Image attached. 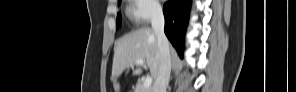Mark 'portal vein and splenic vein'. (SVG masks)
Returning <instances> with one entry per match:
<instances>
[{
    "instance_id": "obj_1",
    "label": "portal vein and splenic vein",
    "mask_w": 296,
    "mask_h": 92,
    "mask_svg": "<svg viewBox=\"0 0 296 92\" xmlns=\"http://www.w3.org/2000/svg\"><path fill=\"white\" fill-rule=\"evenodd\" d=\"M136 64L137 65H144V60L138 59V60H136ZM151 84H152V78L147 76L146 79L144 80L143 85H144V87L148 88L151 86Z\"/></svg>"
}]
</instances>
